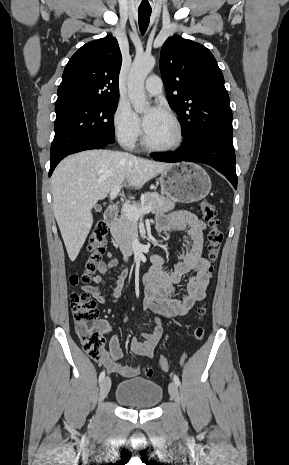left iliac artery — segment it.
Returning <instances> with one entry per match:
<instances>
[{
	"label": "left iliac artery",
	"mask_w": 289,
	"mask_h": 465,
	"mask_svg": "<svg viewBox=\"0 0 289 465\" xmlns=\"http://www.w3.org/2000/svg\"><path fill=\"white\" fill-rule=\"evenodd\" d=\"M173 379H174V382L176 383V385L179 386L180 385L179 377L177 375H174Z\"/></svg>",
	"instance_id": "left-iliac-artery-1"
}]
</instances>
